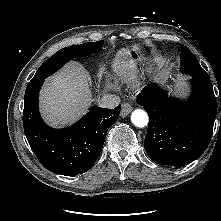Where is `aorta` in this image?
<instances>
[{
    "instance_id": "762f6f07",
    "label": "aorta",
    "mask_w": 221,
    "mask_h": 221,
    "mask_svg": "<svg viewBox=\"0 0 221 221\" xmlns=\"http://www.w3.org/2000/svg\"><path fill=\"white\" fill-rule=\"evenodd\" d=\"M148 114L141 109L134 110L131 115L132 123L137 127H145L148 124Z\"/></svg>"
}]
</instances>
